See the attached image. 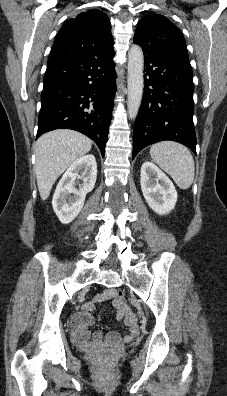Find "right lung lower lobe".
I'll list each match as a JSON object with an SVG mask.
<instances>
[{"label":"right lung lower lobe","mask_w":227,"mask_h":396,"mask_svg":"<svg viewBox=\"0 0 227 396\" xmlns=\"http://www.w3.org/2000/svg\"><path fill=\"white\" fill-rule=\"evenodd\" d=\"M114 55L111 46L47 65L37 138L54 129L76 130L104 156L116 92Z\"/></svg>","instance_id":"1"}]
</instances>
